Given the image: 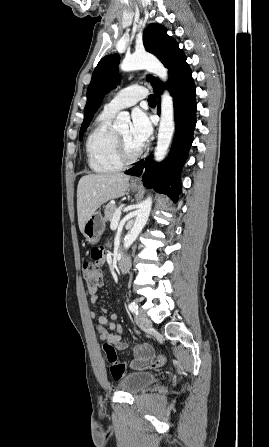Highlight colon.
Instances as JSON below:
<instances>
[{
  "instance_id": "colon-1",
  "label": "colon",
  "mask_w": 269,
  "mask_h": 447,
  "mask_svg": "<svg viewBox=\"0 0 269 447\" xmlns=\"http://www.w3.org/2000/svg\"><path fill=\"white\" fill-rule=\"evenodd\" d=\"M104 263V252L100 249L93 250L90 253V259L82 264V276L86 283L88 294L95 295L101 288L103 283L102 266ZM103 352L111 363L109 368L110 376L115 380H121L124 376L131 372L143 371L147 367L155 369L166 363L163 356H155L150 358L148 362H137L134 365H127L118 361L117 351L111 344H104ZM135 353L139 356H148L152 354V350L147 347H139L135 349Z\"/></svg>"
}]
</instances>
